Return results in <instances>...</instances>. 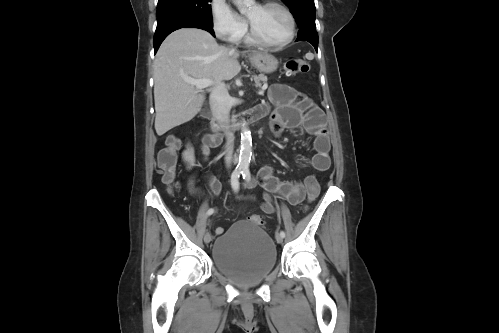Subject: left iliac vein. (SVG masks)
Instances as JSON below:
<instances>
[{"mask_svg":"<svg viewBox=\"0 0 499 333\" xmlns=\"http://www.w3.org/2000/svg\"><path fill=\"white\" fill-rule=\"evenodd\" d=\"M276 241L281 244L283 242V237L280 234H276Z\"/></svg>","mask_w":499,"mask_h":333,"instance_id":"1","label":"left iliac vein"}]
</instances>
